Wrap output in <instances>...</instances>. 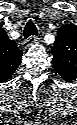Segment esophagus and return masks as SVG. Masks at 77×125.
Masks as SVG:
<instances>
[{
	"instance_id": "esophagus-1",
	"label": "esophagus",
	"mask_w": 77,
	"mask_h": 125,
	"mask_svg": "<svg viewBox=\"0 0 77 125\" xmlns=\"http://www.w3.org/2000/svg\"><path fill=\"white\" fill-rule=\"evenodd\" d=\"M38 40L37 36H31L27 38L23 43H22V49H27L30 47L33 43H35Z\"/></svg>"
}]
</instances>
